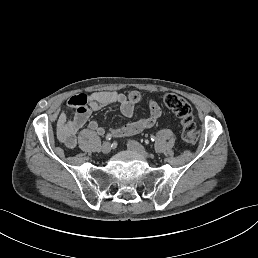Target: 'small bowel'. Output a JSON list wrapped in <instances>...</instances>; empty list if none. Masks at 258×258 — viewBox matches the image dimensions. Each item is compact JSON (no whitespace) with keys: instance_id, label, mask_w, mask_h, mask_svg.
Listing matches in <instances>:
<instances>
[{"instance_id":"c3829d8e","label":"small bowel","mask_w":258,"mask_h":258,"mask_svg":"<svg viewBox=\"0 0 258 258\" xmlns=\"http://www.w3.org/2000/svg\"><path fill=\"white\" fill-rule=\"evenodd\" d=\"M142 100L138 91H130L122 94L116 91H97L89 94H76L67 101L68 107L75 110L72 118L67 112H61L57 118L58 139L68 148L77 145V136L80 130L87 125V131L97 135H103L105 128L96 120H89L93 111L100 110L108 105H116L123 116L131 118L134 115L135 105ZM149 115L138 118L123 126L111 127L109 131L114 136H131L153 127L161 117L162 110L159 104L148 99Z\"/></svg>"}]
</instances>
